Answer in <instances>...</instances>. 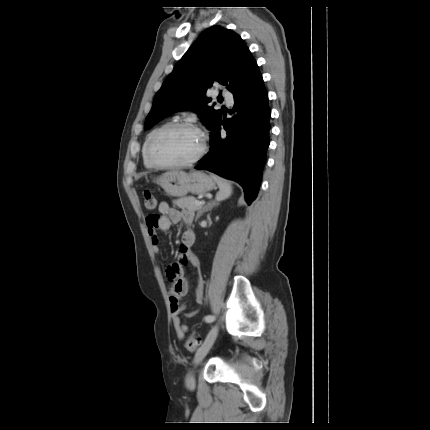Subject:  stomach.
<instances>
[{
    "label": "stomach",
    "instance_id": "obj_1",
    "mask_svg": "<svg viewBox=\"0 0 430 430\" xmlns=\"http://www.w3.org/2000/svg\"><path fill=\"white\" fill-rule=\"evenodd\" d=\"M164 191L173 197H183L188 193L203 194L215 187V182L203 171L186 173L171 170L162 174L158 180Z\"/></svg>",
    "mask_w": 430,
    "mask_h": 430
}]
</instances>
